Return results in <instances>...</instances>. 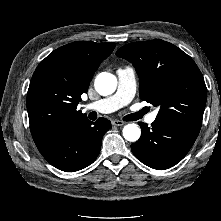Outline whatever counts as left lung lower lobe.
<instances>
[{"mask_svg":"<svg viewBox=\"0 0 221 221\" xmlns=\"http://www.w3.org/2000/svg\"><path fill=\"white\" fill-rule=\"evenodd\" d=\"M140 139L131 145L134 155L145 165L164 170L173 167L188 153L200 129L172 121L156 119L152 127L139 122Z\"/></svg>","mask_w":221,"mask_h":221,"instance_id":"obj_1","label":"left lung lower lobe"}]
</instances>
